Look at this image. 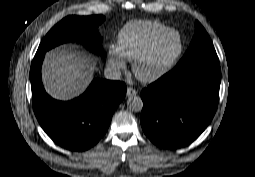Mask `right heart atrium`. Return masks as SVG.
Segmentation results:
<instances>
[{"label": "right heart atrium", "mask_w": 255, "mask_h": 177, "mask_svg": "<svg viewBox=\"0 0 255 177\" xmlns=\"http://www.w3.org/2000/svg\"><path fill=\"white\" fill-rule=\"evenodd\" d=\"M108 58L113 68L118 72H123L127 69L126 58L121 50L116 46H110L108 49Z\"/></svg>", "instance_id": "1"}]
</instances>
